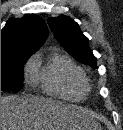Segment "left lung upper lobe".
Wrapping results in <instances>:
<instances>
[{"mask_svg":"<svg viewBox=\"0 0 123 130\" xmlns=\"http://www.w3.org/2000/svg\"><path fill=\"white\" fill-rule=\"evenodd\" d=\"M55 37L67 52L77 61L97 68L96 57L89 48L86 38L78 24L68 16L52 17L47 20Z\"/></svg>","mask_w":123,"mask_h":130,"instance_id":"1","label":"left lung upper lobe"}]
</instances>
